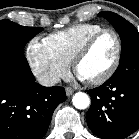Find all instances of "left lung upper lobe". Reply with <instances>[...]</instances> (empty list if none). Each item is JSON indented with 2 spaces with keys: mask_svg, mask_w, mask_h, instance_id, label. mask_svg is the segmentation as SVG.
Wrapping results in <instances>:
<instances>
[{
  "mask_svg": "<svg viewBox=\"0 0 139 139\" xmlns=\"http://www.w3.org/2000/svg\"><path fill=\"white\" fill-rule=\"evenodd\" d=\"M98 16L107 19L119 33L122 42L121 58L134 50H139V32L131 23L109 11L100 12Z\"/></svg>",
  "mask_w": 139,
  "mask_h": 139,
  "instance_id": "5c2ea615",
  "label": "left lung upper lobe"
}]
</instances>
